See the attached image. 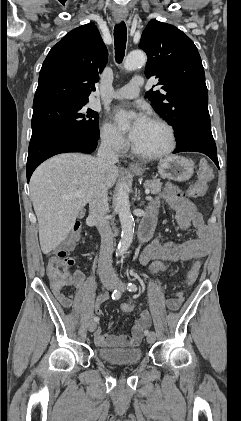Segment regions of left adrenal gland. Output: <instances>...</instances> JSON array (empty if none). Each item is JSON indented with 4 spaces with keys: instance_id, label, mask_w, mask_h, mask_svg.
<instances>
[{
    "instance_id": "1",
    "label": "left adrenal gland",
    "mask_w": 241,
    "mask_h": 421,
    "mask_svg": "<svg viewBox=\"0 0 241 421\" xmlns=\"http://www.w3.org/2000/svg\"><path fill=\"white\" fill-rule=\"evenodd\" d=\"M138 200H140V191L138 192Z\"/></svg>"
}]
</instances>
